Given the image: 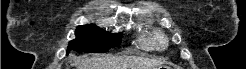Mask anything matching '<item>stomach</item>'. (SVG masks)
<instances>
[{"label":"stomach","mask_w":246,"mask_h":69,"mask_svg":"<svg viewBox=\"0 0 246 69\" xmlns=\"http://www.w3.org/2000/svg\"><path fill=\"white\" fill-rule=\"evenodd\" d=\"M151 69H170V68L167 67V66H164V65H158V66L153 67V68H151Z\"/></svg>","instance_id":"stomach-1"}]
</instances>
